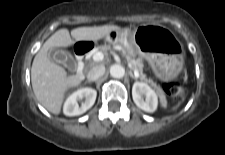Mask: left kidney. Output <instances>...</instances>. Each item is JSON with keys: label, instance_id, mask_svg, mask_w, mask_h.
<instances>
[{"label": "left kidney", "instance_id": "left-kidney-1", "mask_svg": "<svg viewBox=\"0 0 225 155\" xmlns=\"http://www.w3.org/2000/svg\"><path fill=\"white\" fill-rule=\"evenodd\" d=\"M132 97L135 104L145 112L153 113L156 111L158 96L148 84L135 82L132 87Z\"/></svg>", "mask_w": 225, "mask_h": 155}]
</instances>
